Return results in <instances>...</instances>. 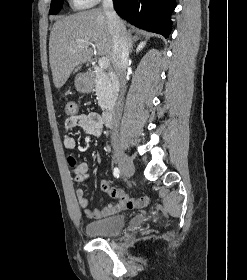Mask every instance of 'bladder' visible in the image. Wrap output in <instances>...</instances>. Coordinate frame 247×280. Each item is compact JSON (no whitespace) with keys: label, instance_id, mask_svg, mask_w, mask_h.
<instances>
[{"label":"bladder","instance_id":"bladder-1","mask_svg":"<svg viewBox=\"0 0 247 280\" xmlns=\"http://www.w3.org/2000/svg\"><path fill=\"white\" fill-rule=\"evenodd\" d=\"M126 222L124 215L111 216L87 223L85 231L91 237H113L123 231Z\"/></svg>","mask_w":247,"mask_h":280}]
</instances>
